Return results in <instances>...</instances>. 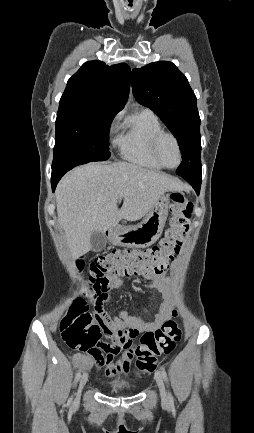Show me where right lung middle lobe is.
<instances>
[{
	"instance_id": "1",
	"label": "right lung middle lobe",
	"mask_w": 254,
	"mask_h": 433,
	"mask_svg": "<svg viewBox=\"0 0 254 433\" xmlns=\"http://www.w3.org/2000/svg\"><path fill=\"white\" fill-rule=\"evenodd\" d=\"M115 115L94 105L59 106L54 155L70 152L88 162L107 160L109 128Z\"/></svg>"
}]
</instances>
